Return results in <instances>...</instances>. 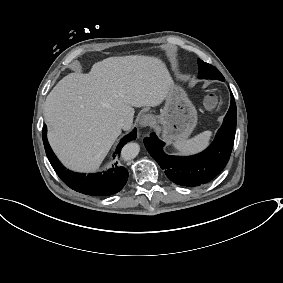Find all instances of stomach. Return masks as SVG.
<instances>
[{
	"instance_id": "obj_1",
	"label": "stomach",
	"mask_w": 283,
	"mask_h": 283,
	"mask_svg": "<svg viewBox=\"0 0 283 283\" xmlns=\"http://www.w3.org/2000/svg\"><path fill=\"white\" fill-rule=\"evenodd\" d=\"M165 100L160 116H154L156 123L163 126L162 137L168 142L187 138L197 124L195 106L186 92L177 85L173 86Z\"/></svg>"
}]
</instances>
